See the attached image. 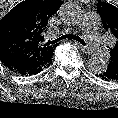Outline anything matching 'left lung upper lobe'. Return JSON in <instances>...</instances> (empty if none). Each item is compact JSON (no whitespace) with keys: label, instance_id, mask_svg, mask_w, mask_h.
Listing matches in <instances>:
<instances>
[{"label":"left lung upper lobe","instance_id":"obj_1","mask_svg":"<svg viewBox=\"0 0 118 118\" xmlns=\"http://www.w3.org/2000/svg\"><path fill=\"white\" fill-rule=\"evenodd\" d=\"M97 10L103 27L113 38V46L109 47L110 62L103 75L109 80L118 81V8L106 2H98Z\"/></svg>","mask_w":118,"mask_h":118}]
</instances>
